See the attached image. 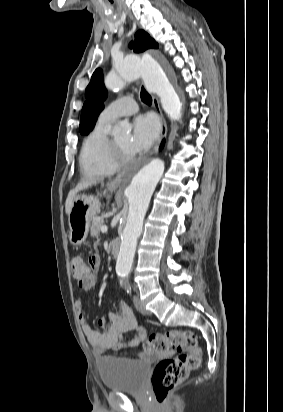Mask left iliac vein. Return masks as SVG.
<instances>
[{
	"instance_id": "left-iliac-vein-1",
	"label": "left iliac vein",
	"mask_w": 283,
	"mask_h": 412,
	"mask_svg": "<svg viewBox=\"0 0 283 412\" xmlns=\"http://www.w3.org/2000/svg\"><path fill=\"white\" fill-rule=\"evenodd\" d=\"M133 301L136 309L142 314H149V311L145 308L143 302L137 295L133 296Z\"/></svg>"
}]
</instances>
